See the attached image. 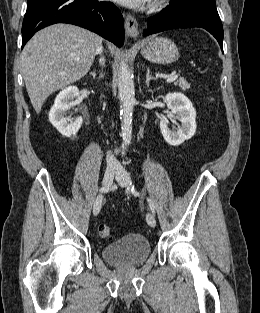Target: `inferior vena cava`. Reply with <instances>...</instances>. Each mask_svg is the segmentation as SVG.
<instances>
[{
  "mask_svg": "<svg viewBox=\"0 0 260 313\" xmlns=\"http://www.w3.org/2000/svg\"><path fill=\"white\" fill-rule=\"evenodd\" d=\"M99 53H102V47H100ZM100 63L104 64V58L103 57L100 59ZM118 166H119V163L113 156L107 157V167L115 168Z\"/></svg>",
  "mask_w": 260,
  "mask_h": 313,
  "instance_id": "obj_1",
  "label": "inferior vena cava"
}]
</instances>
